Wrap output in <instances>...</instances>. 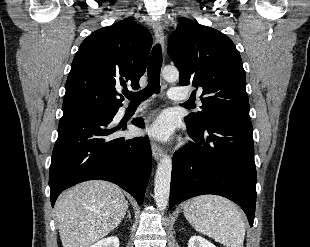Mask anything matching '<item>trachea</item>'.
<instances>
[{
	"label": "trachea",
	"mask_w": 310,
	"mask_h": 247,
	"mask_svg": "<svg viewBox=\"0 0 310 247\" xmlns=\"http://www.w3.org/2000/svg\"><path fill=\"white\" fill-rule=\"evenodd\" d=\"M162 51L160 44L153 47L148 65V85L138 92H124V96L132 104H140L148 99L153 93L160 92V70L162 67Z\"/></svg>",
	"instance_id": "obj_1"
}]
</instances>
